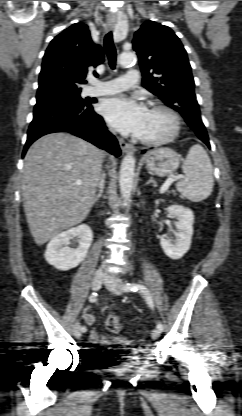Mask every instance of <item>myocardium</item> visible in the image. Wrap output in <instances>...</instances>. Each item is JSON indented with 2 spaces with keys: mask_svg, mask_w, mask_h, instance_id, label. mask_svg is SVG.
<instances>
[{
  "mask_svg": "<svg viewBox=\"0 0 242 416\" xmlns=\"http://www.w3.org/2000/svg\"><path fill=\"white\" fill-rule=\"evenodd\" d=\"M149 109H154V110H161L164 111L165 113H167L169 115V117L171 118V127L169 132L161 137V138H157V139H143L140 137H137V141H139L141 144L147 145V146H160L163 144H166L170 141H172L178 134L180 131V125H181V121H180V116L177 113V111L171 107L170 105H167L165 103L162 102H154L150 105Z\"/></svg>",
  "mask_w": 242,
  "mask_h": 416,
  "instance_id": "obj_1",
  "label": "myocardium"
}]
</instances>
